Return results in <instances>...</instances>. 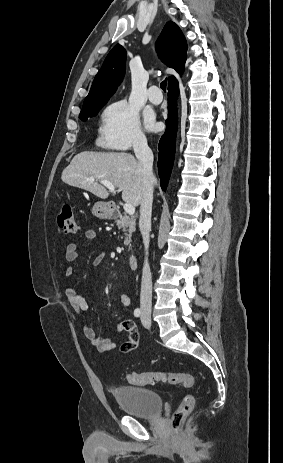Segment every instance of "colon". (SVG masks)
<instances>
[{"label": "colon", "instance_id": "1", "mask_svg": "<svg viewBox=\"0 0 283 463\" xmlns=\"http://www.w3.org/2000/svg\"><path fill=\"white\" fill-rule=\"evenodd\" d=\"M57 222L59 228L67 234L77 231L76 219L72 207L68 203H64L58 213ZM125 351V349H123ZM126 379L134 385H148L156 382H167L177 384L184 388H189L193 385V377L187 373H174L170 371H150V372H130L126 374ZM195 404V399L192 395H185L177 410L172 417V427L174 434L179 436L181 427L185 419L192 412Z\"/></svg>", "mask_w": 283, "mask_h": 463}]
</instances>
